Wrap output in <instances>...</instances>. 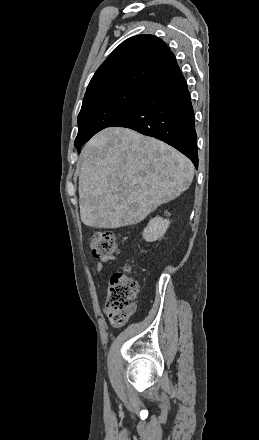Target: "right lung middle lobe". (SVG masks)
I'll list each match as a JSON object with an SVG mask.
<instances>
[{"instance_id": "right-lung-middle-lobe-1", "label": "right lung middle lobe", "mask_w": 259, "mask_h": 440, "mask_svg": "<svg viewBox=\"0 0 259 440\" xmlns=\"http://www.w3.org/2000/svg\"><path fill=\"white\" fill-rule=\"evenodd\" d=\"M148 89L127 88L106 93L82 104L78 115V135L74 145L81 146L100 130L129 112Z\"/></svg>"}]
</instances>
